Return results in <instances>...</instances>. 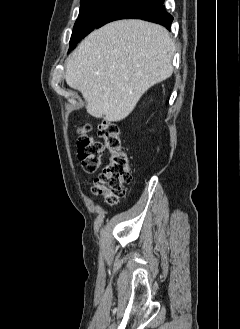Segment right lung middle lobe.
Here are the masks:
<instances>
[{"label":"right lung middle lobe","mask_w":240,"mask_h":329,"mask_svg":"<svg viewBox=\"0 0 240 329\" xmlns=\"http://www.w3.org/2000/svg\"><path fill=\"white\" fill-rule=\"evenodd\" d=\"M120 0H81L78 19L75 22L70 39V49L76 47L77 43L93 31L99 21Z\"/></svg>","instance_id":"dd1d6c3e"}]
</instances>
